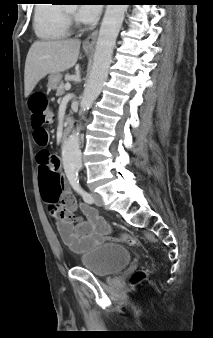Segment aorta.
Returning <instances> with one entry per match:
<instances>
[{"label": "aorta", "instance_id": "obj_1", "mask_svg": "<svg viewBox=\"0 0 213 338\" xmlns=\"http://www.w3.org/2000/svg\"><path fill=\"white\" fill-rule=\"evenodd\" d=\"M126 11V4H109L106 7L95 47L92 69L81 97L80 105L83 113L92 106L107 80L113 49ZM81 158L80 135L77 129L65 142L62 152V164L68 179L77 177L82 164Z\"/></svg>", "mask_w": 213, "mask_h": 338}]
</instances>
